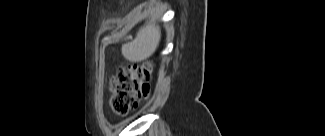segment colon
<instances>
[{"label": "colon", "instance_id": "1", "mask_svg": "<svg viewBox=\"0 0 325 136\" xmlns=\"http://www.w3.org/2000/svg\"><path fill=\"white\" fill-rule=\"evenodd\" d=\"M152 65H128L119 67L109 83V104L118 115H126L140 99L150 93V76Z\"/></svg>", "mask_w": 325, "mask_h": 136}]
</instances>
